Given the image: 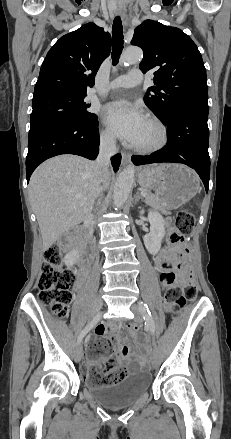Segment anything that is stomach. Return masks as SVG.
<instances>
[{"instance_id": "0dacf381", "label": "stomach", "mask_w": 231, "mask_h": 439, "mask_svg": "<svg viewBox=\"0 0 231 439\" xmlns=\"http://www.w3.org/2000/svg\"><path fill=\"white\" fill-rule=\"evenodd\" d=\"M138 181L142 187L155 192L162 210L180 207L201 189L197 174L179 164L145 167L138 173Z\"/></svg>"}]
</instances>
